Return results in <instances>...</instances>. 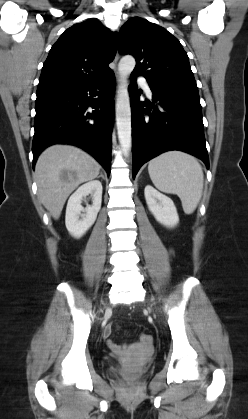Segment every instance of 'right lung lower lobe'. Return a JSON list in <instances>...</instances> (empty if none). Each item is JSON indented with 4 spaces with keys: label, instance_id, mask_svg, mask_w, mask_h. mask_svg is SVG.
<instances>
[{
    "label": "right lung lower lobe",
    "instance_id": "1",
    "mask_svg": "<svg viewBox=\"0 0 248 419\" xmlns=\"http://www.w3.org/2000/svg\"><path fill=\"white\" fill-rule=\"evenodd\" d=\"M115 75L70 88L37 92L32 144L33 166L56 143L73 144L94 156L110 173Z\"/></svg>",
    "mask_w": 248,
    "mask_h": 419
}]
</instances>
